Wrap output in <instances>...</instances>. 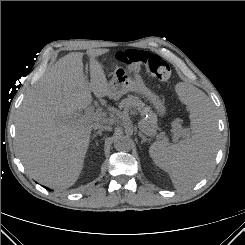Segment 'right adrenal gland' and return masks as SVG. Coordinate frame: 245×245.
I'll return each mask as SVG.
<instances>
[{"instance_id": "right-adrenal-gland-1", "label": "right adrenal gland", "mask_w": 245, "mask_h": 245, "mask_svg": "<svg viewBox=\"0 0 245 245\" xmlns=\"http://www.w3.org/2000/svg\"><path fill=\"white\" fill-rule=\"evenodd\" d=\"M102 132H103V129L98 130V131L93 135L92 140H93L97 135L101 136V135H102Z\"/></svg>"}]
</instances>
